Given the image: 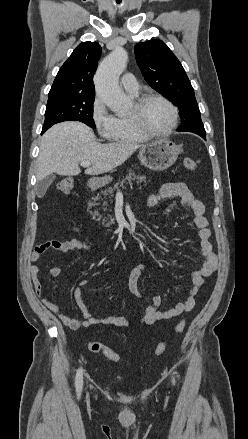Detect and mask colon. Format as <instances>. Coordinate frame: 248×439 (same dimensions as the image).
<instances>
[{
  "mask_svg": "<svg viewBox=\"0 0 248 439\" xmlns=\"http://www.w3.org/2000/svg\"><path fill=\"white\" fill-rule=\"evenodd\" d=\"M183 166H184V169L190 173V172H193L196 170L197 163L192 158H185L183 160ZM73 187H74V183H73V180L71 178H64L58 183V189L65 194L70 193L71 190L73 189ZM185 327H186L185 321H180L175 326L174 334L175 335L181 334L185 330ZM167 346H168V343L166 341L159 343L154 350V356L162 355L166 351ZM89 349L93 352L103 354L107 359H109L113 362L120 363L122 361V358H121L119 353H117L113 349L105 346L104 344H102L100 342L91 341L89 343Z\"/></svg>",
  "mask_w": 248,
  "mask_h": 439,
  "instance_id": "obj_1",
  "label": "colon"
}]
</instances>
